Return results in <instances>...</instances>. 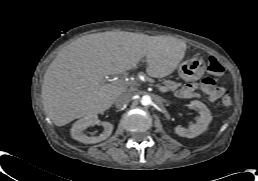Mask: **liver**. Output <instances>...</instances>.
<instances>
[{
    "label": "liver",
    "instance_id": "1",
    "mask_svg": "<svg viewBox=\"0 0 258 181\" xmlns=\"http://www.w3.org/2000/svg\"><path fill=\"white\" fill-rule=\"evenodd\" d=\"M186 44L169 36L109 31L83 36L68 45L44 74L41 96L56 126L109 109L127 90L104 83L109 75L134 69L143 59L153 78L171 74L185 55Z\"/></svg>",
    "mask_w": 258,
    "mask_h": 181
}]
</instances>
